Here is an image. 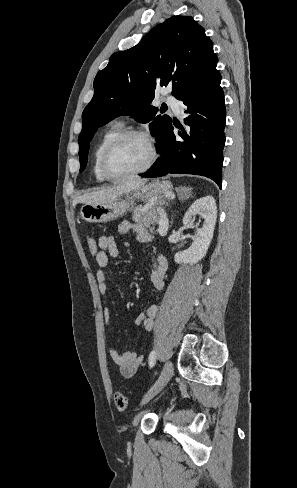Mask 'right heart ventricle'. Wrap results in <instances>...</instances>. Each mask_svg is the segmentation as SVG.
<instances>
[{
  "instance_id": "1",
  "label": "right heart ventricle",
  "mask_w": 297,
  "mask_h": 488,
  "mask_svg": "<svg viewBox=\"0 0 297 488\" xmlns=\"http://www.w3.org/2000/svg\"><path fill=\"white\" fill-rule=\"evenodd\" d=\"M124 124L121 121H114L111 123L99 136L98 141L93 150V173L95 179L99 182L106 181L100 167V160L102 153L107 144L116 136L123 132Z\"/></svg>"
}]
</instances>
